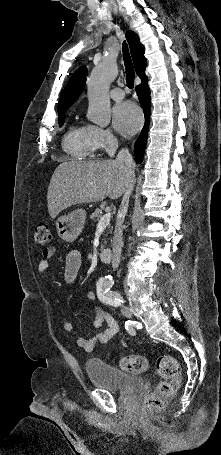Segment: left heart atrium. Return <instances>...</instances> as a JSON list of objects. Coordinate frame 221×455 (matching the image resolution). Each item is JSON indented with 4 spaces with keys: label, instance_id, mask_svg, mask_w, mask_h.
I'll list each match as a JSON object with an SVG mask.
<instances>
[{
    "label": "left heart atrium",
    "instance_id": "obj_1",
    "mask_svg": "<svg viewBox=\"0 0 221 455\" xmlns=\"http://www.w3.org/2000/svg\"><path fill=\"white\" fill-rule=\"evenodd\" d=\"M113 126L124 136L134 135L141 127L143 117L140 109L132 102L117 104L112 114Z\"/></svg>",
    "mask_w": 221,
    "mask_h": 455
}]
</instances>
